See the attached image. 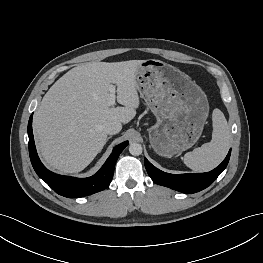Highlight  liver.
Instances as JSON below:
<instances>
[{
	"label": "liver",
	"mask_w": 263,
	"mask_h": 263,
	"mask_svg": "<svg viewBox=\"0 0 263 263\" xmlns=\"http://www.w3.org/2000/svg\"><path fill=\"white\" fill-rule=\"evenodd\" d=\"M142 61L85 63L51 86L33 119L37 147L50 167L67 174L82 171L105 145V126L135 117L140 104L136 71ZM112 84L124 107L108 105Z\"/></svg>",
	"instance_id": "liver-1"
}]
</instances>
